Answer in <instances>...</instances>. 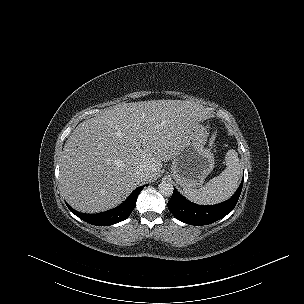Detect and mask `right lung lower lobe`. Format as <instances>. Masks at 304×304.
<instances>
[{"mask_svg":"<svg viewBox=\"0 0 304 304\" xmlns=\"http://www.w3.org/2000/svg\"><path fill=\"white\" fill-rule=\"evenodd\" d=\"M144 186L145 185L135 189L130 194V196L118 207L97 214L80 213L71 208L67 203L66 205L73 214L89 224L97 226H109L125 220L130 215L136 205L137 197Z\"/></svg>","mask_w":304,"mask_h":304,"instance_id":"obj_1","label":"right lung lower lobe"}]
</instances>
